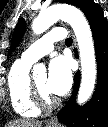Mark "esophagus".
Segmentation results:
<instances>
[{"mask_svg": "<svg viewBox=\"0 0 108 127\" xmlns=\"http://www.w3.org/2000/svg\"><path fill=\"white\" fill-rule=\"evenodd\" d=\"M48 127H55L57 126V119L55 117L51 118L48 122H47Z\"/></svg>", "mask_w": 108, "mask_h": 127, "instance_id": "1", "label": "esophagus"}]
</instances>
